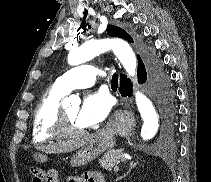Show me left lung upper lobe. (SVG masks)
I'll return each instance as SVG.
<instances>
[{
    "label": "left lung upper lobe",
    "mask_w": 211,
    "mask_h": 182,
    "mask_svg": "<svg viewBox=\"0 0 211 182\" xmlns=\"http://www.w3.org/2000/svg\"><path fill=\"white\" fill-rule=\"evenodd\" d=\"M107 33L110 36L113 37H120L122 39H125L129 42H133V39L131 38V36L129 34H127L123 29L117 27V26H113V25H108L107 27ZM170 108L167 110L168 113H170Z\"/></svg>",
    "instance_id": "obj_1"
}]
</instances>
